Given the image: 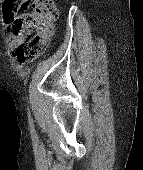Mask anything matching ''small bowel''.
<instances>
[{
    "mask_svg": "<svg viewBox=\"0 0 143 170\" xmlns=\"http://www.w3.org/2000/svg\"><path fill=\"white\" fill-rule=\"evenodd\" d=\"M30 6V0H22L21 2H17V0H14L13 3V10L15 13H17L18 10H28ZM7 35L10 41L11 47H16L21 39V32H14L12 30L11 26L7 27Z\"/></svg>",
    "mask_w": 143,
    "mask_h": 170,
    "instance_id": "small-bowel-1",
    "label": "small bowel"
}]
</instances>
